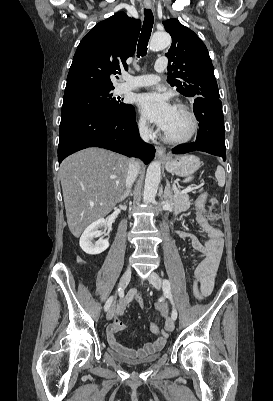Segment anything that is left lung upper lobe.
I'll list each match as a JSON object with an SVG mask.
<instances>
[{"label":"left lung upper lobe","instance_id":"obj_1","mask_svg":"<svg viewBox=\"0 0 273 401\" xmlns=\"http://www.w3.org/2000/svg\"><path fill=\"white\" fill-rule=\"evenodd\" d=\"M172 37L171 47L165 55L169 63L168 83L190 98H219L214 68L208 50L199 37L177 19L163 22Z\"/></svg>","mask_w":273,"mask_h":401}]
</instances>
